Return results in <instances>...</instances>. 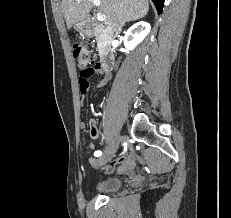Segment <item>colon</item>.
<instances>
[{"mask_svg":"<svg viewBox=\"0 0 231 218\" xmlns=\"http://www.w3.org/2000/svg\"><path fill=\"white\" fill-rule=\"evenodd\" d=\"M73 56L79 69H87L88 66L98 63L96 53L82 43L73 45Z\"/></svg>","mask_w":231,"mask_h":218,"instance_id":"obj_1","label":"colon"}]
</instances>
